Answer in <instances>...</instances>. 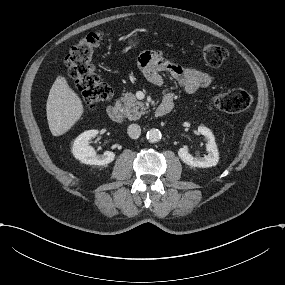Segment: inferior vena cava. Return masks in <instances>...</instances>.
Instances as JSON below:
<instances>
[{"label": "inferior vena cava", "mask_w": 285, "mask_h": 285, "mask_svg": "<svg viewBox=\"0 0 285 285\" xmlns=\"http://www.w3.org/2000/svg\"><path fill=\"white\" fill-rule=\"evenodd\" d=\"M141 134V128L138 124H131L128 127V135L133 139H138Z\"/></svg>", "instance_id": "inferior-vena-cava-1"}]
</instances>
